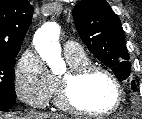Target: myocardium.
<instances>
[{"label": "myocardium", "mask_w": 142, "mask_h": 119, "mask_svg": "<svg viewBox=\"0 0 142 119\" xmlns=\"http://www.w3.org/2000/svg\"><path fill=\"white\" fill-rule=\"evenodd\" d=\"M101 73L108 77L116 89L114 105L105 111L92 112L80 106L74 99L75 89L91 74ZM123 101V89L117 77L108 69L97 64H86L70 68L57 79L56 104L63 110L89 117H105L115 113Z\"/></svg>", "instance_id": "myocardium-1"}]
</instances>
